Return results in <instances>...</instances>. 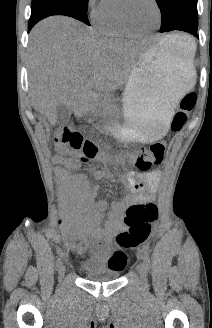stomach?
<instances>
[{"mask_svg":"<svg viewBox=\"0 0 212 328\" xmlns=\"http://www.w3.org/2000/svg\"><path fill=\"white\" fill-rule=\"evenodd\" d=\"M192 59L184 48L164 40L140 55L118 110L125 140L152 142L166 134L179 99L195 84Z\"/></svg>","mask_w":212,"mask_h":328,"instance_id":"obj_1","label":"stomach"}]
</instances>
